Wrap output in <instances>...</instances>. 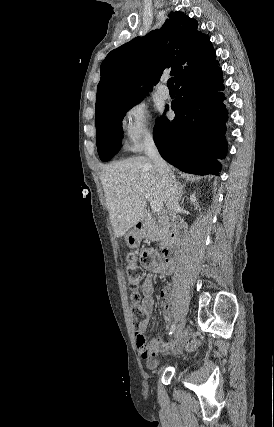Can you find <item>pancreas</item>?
<instances>
[{
  "mask_svg": "<svg viewBox=\"0 0 274 427\" xmlns=\"http://www.w3.org/2000/svg\"><path fill=\"white\" fill-rule=\"evenodd\" d=\"M167 221L165 214L156 215V217H147L144 223V233L148 239H153V241H158V239H167L168 229Z\"/></svg>",
  "mask_w": 274,
  "mask_h": 427,
  "instance_id": "obj_1",
  "label": "pancreas"
}]
</instances>
